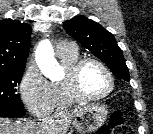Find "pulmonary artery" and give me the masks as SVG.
Here are the masks:
<instances>
[{
	"instance_id": "pulmonary-artery-1",
	"label": "pulmonary artery",
	"mask_w": 153,
	"mask_h": 134,
	"mask_svg": "<svg viewBox=\"0 0 153 134\" xmlns=\"http://www.w3.org/2000/svg\"><path fill=\"white\" fill-rule=\"evenodd\" d=\"M76 51V47L71 42H61L56 47V53L58 56L71 54Z\"/></svg>"
}]
</instances>
